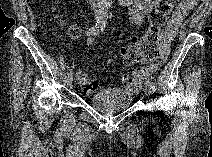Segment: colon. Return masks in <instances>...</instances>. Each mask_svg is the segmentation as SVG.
<instances>
[{
	"label": "colon",
	"mask_w": 212,
	"mask_h": 157,
	"mask_svg": "<svg viewBox=\"0 0 212 157\" xmlns=\"http://www.w3.org/2000/svg\"><path fill=\"white\" fill-rule=\"evenodd\" d=\"M176 0H158L154 10L149 14V28L138 41L122 51L123 63L126 66L141 64L160 55L161 43L164 37H169L163 26L172 13ZM72 38L80 36L77 26L68 29ZM130 78L129 76H125ZM75 87L79 92L87 93L97 88V79L86 70H79L76 74Z\"/></svg>",
	"instance_id": "1"
}]
</instances>
